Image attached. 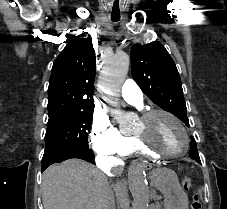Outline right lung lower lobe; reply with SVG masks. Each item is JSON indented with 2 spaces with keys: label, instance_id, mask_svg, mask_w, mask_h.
I'll use <instances>...</instances> for the list:
<instances>
[{
  "label": "right lung lower lobe",
  "instance_id": "obj_1",
  "mask_svg": "<svg viewBox=\"0 0 227 209\" xmlns=\"http://www.w3.org/2000/svg\"><path fill=\"white\" fill-rule=\"evenodd\" d=\"M70 158H79L85 161H91L94 159V154L89 148L82 150H66L58 152L48 156L46 166H42V171H44L49 165L53 163L62 162Z\"/></svg>",
  "mask_w": 227,
  "mask_h": 209
}]
</instances>
